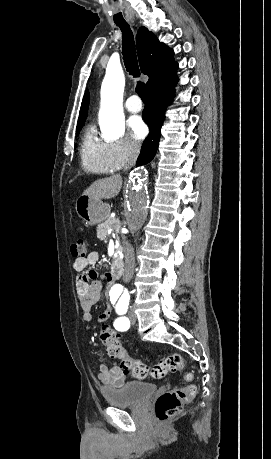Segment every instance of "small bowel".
<instances>
[{
	"mask_svg": "<svg viewBox=\"0 0 271 459\" xmlns=\"http://www.w3.org/2000/svg\"><path fill=\"white\" fill-rule=\"evenodd\" d=\"M98 260L99 253L92 251L85 257L76 258L73 262V269L78 273L76 289L80 298L82 319L86 323L91 321L92 309L101 297L103 281L108 279V274H102L95 269L86 271L88 267L96 265ZM109 316L110 306L106 304L98 316V322L100 324L105 323ZM127 375L128 371L121 368L117 363L99 364L97 367V376L104 389L123 386Z\"/></svg>",
	"mask_w": 271,
	"mask_h": 459,
	"instance_id": "1",
	"label": "small bowel"
}]
</instances>
